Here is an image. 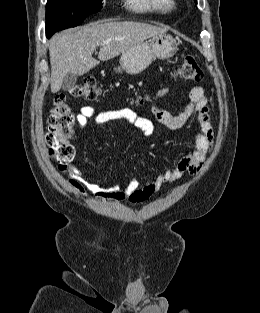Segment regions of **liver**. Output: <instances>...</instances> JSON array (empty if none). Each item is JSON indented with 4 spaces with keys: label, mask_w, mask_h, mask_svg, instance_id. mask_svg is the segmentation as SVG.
<instances>
[{
    "label": "liver",
    "mask_w": 260,
    "mask_h": 313,
    "mask_svg": "<svg viewBox=\"0 0 260 313\" xmlns=\"http://www.w3.org/2000/svg\"><path fill=\"white\" fill-rule=\"evenodd\" d=\"M166 27L147 23L94 22L64 30L54 35L49 42L51 64V92L57 93L68 73L84 75L97 66L128 50L148 38L167 32ZM100 47L98 59L92 54Z\"/></svg>",
    "instance_id": "6515ba94"
}]
</instances>
